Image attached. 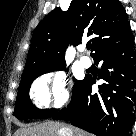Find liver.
<instances>
[{"mask_svg": "<svg viewBox=\"0 0 136 136\" xmlns=\"http://www.w3.org/2000/svg\"><path fill=\"white\" fill-rule=\"evenodd\" d=\"M14 136H89L87 133L72 129L61 123L47 121L37 125L25 126L14 133Z\"/></svg>", "mask_w": 136, "mask_h": 136, "instance_id": "6515ba94", "label": "liver"}]
</instances>
